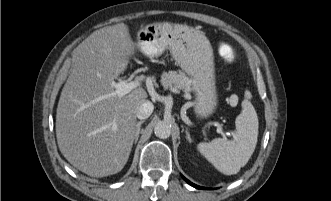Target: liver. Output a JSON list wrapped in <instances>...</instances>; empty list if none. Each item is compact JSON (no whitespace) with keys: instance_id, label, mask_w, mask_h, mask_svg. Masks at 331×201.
<instances>
[{"instance_id":"obj_1","label":"liver","mask_w":331,"mask_h":201,"mask_svg":"<svg viewBox=\"0 0 331 201\" xmlns=\"http://www.w3.org/2000/svg\"><path fill=\"white\" fill-rule=\"evenodd\" d=\"M137 45L120 23L101 29L78 53L60 95L56 137L67 161L92 177L120 172L135 136L142 87L118 97L112 82L123 73Z\"/></svg>"}]
</instances>
